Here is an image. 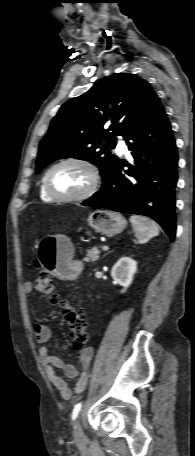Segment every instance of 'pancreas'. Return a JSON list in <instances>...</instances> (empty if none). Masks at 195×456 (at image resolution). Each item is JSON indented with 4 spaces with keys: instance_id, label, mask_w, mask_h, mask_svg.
<instances>
[{
    "instance_id": "pancreas-1",
    "label": "pancreas",
    "mask_w": 195,
    "mask_h": 456,
    "mask_svg": "<svg viewBox=\"0 0 195 456\" xmlns=\"http://www.w3.org/2000/svg\"><path fill=\"white\" fill-rule=\"evenodd\" d=\"M100 257V251L98 247H92L87 251V255L84 258L85 262H95L99 259Z\"/></svg>"
}]
</instances>
